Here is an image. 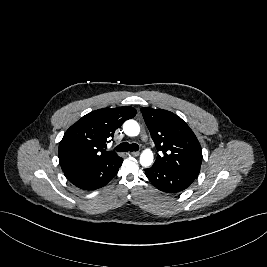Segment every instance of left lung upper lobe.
Segmentation results:
<instances>
[{
  "label": "left lung upper lobe",
  "mask_w": 267,
  "mask_h": 267,
  "mask_svg": "<svg viewBox=\"0 0 267 267\" xmlns=\"http://www.w3.org/2000/svg\"><path fill=\"white\" fill-rule=\"evenodd\" d=\"M145 123L156 145L154 164L197 178L202 163V149L190 127L176 114L152 108H141Z\"/></svg>",
  "instance_id": "5c2ea615"
}]
</instances>
